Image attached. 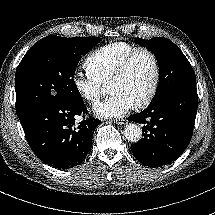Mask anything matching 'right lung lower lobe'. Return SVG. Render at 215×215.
<instances>
[{
    "mask_svg": "<svg viewBox=\"0 0 215 215\" xmlns=\"http://www.w3.org/2000/svg\"><path fill=\"white\" fill-rule=\"evenodd\" d=\"M85 111L83 102L46 100L17 114L35 155L54 168L68 169L83 162L95 128L101 123L96 118L84 119L78 128H72L75 116Z\"/></svg>",
    "mask_w": 215,
    "mask_h": 215,
    "instance_id": "98d812e1",
    "label": "right lung lower lobe"
}]
</instances>
